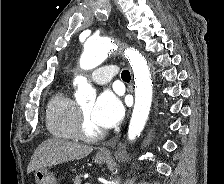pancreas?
Returning <instances> with one entry per match:
<instances>
[{"instance_id":"obj_1","label":"pancreas","mask_w":224,"mask_h":184,"mask_svg":"<svg viewBox=\"0 0 224 184\" xmlns=\"http://www.w3.org/2000/svg\"><path fill=\"white\" fill-rule=\"evenodd\" d=\"M81 181L82 180H81L80 176H77L73 179V184H81Z\"/></svg>"}]
</instances>
